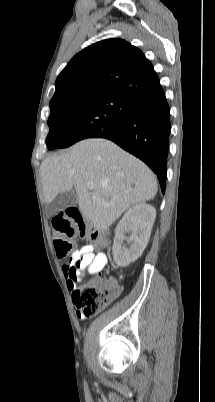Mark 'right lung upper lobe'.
<instances>
[{
  "label": "right lung upper lobe",
  "instance_id": "1",
  "mask_svg": "<svg viewBox=\"0 0 215 402\" xmlns=\"http://www.w3.org/2000/svg\"><path fill=\"white\" fill-rule=\"evenodd\" d=\"M162 90L159 77L141 50L121 39H107L71 59L56 79L51 101L113 94L135 102Z\"/></svg>",
  "mask_w": 215,
  "mask_h": 402
}]
</instances>
